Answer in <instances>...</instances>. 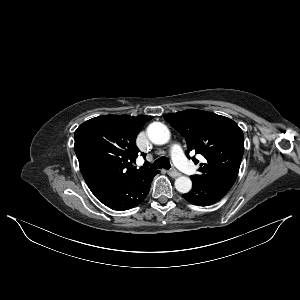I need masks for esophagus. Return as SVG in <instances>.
Here are the masks:
<instances>
[{
  "label": "esophagus",
  "mask_w": 300,
  "mask_h": 300,
  "mask_svg": "<svg viewBox=\"0 0 300 300\" xmlns=\"http://www.w3.org/2000/svg\"><path fill=\"white\" fill-rule=\"evenodd\" d=\"M168 175L173 177V178H177L181 175V173H179L178 171L176 170H171V171H168Z\"/></svg>",
  "instance_id": "1"
}]
</instances>
